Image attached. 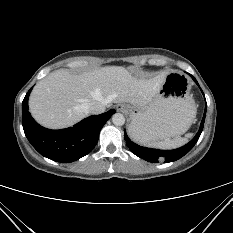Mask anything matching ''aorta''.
I'll return each mask as SVG.
<instances>
[{
    "mask_svg": "<svg viewBox=\"0 0 233 233\" xmlns=\"http://www.w3.org/2000/svg\"><path fill=\"white\" fill-rule=\"evenodd\" d=\"M112 122L116 126H122L125 123V118L121 113H115L112 116Z\"/></svg>",
    "mask_w": 233,
    "mask_h": 233,
    "instance_id": "obj_1",
    "label": "aorta"
}]
</instances>
